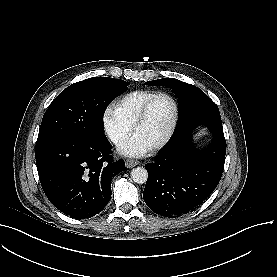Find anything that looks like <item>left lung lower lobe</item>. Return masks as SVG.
<instances>
[{
    "label": "left lung lower lobe",
    "instance_id": "obj_1",
    "mask_svg": "<svg viewBox=\"0 0 277 277\" xmlns=\"http://www.w3.org/2000/svg\"><path fill=\"white\" fill-rule=\"evenodd\" d=\"M210 129L213 132V141L206 150L213 148L226 154L223 129ZM200 153L192 144L190 132L163 148L153 163L145 165L148 179L143 199L152 211L170 218L190 213L217 187L225 156L219 160H203L197 173L182 170L179 166V161L199 157ZM204 169L207 171L204 172Z\"/></svg>",
    "mask_w": 277,
    "mask_h": 277
}]
</instances>
